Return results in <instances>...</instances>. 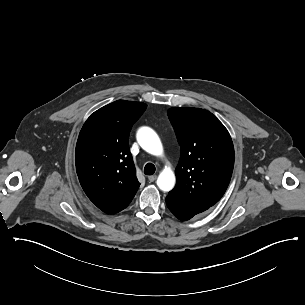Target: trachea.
I'll use <instances>...</instances> for the list:
<instances>
[{
  "instance_id": "1",
  "label": "trachea",
  "mask_w": 305,
  "mask_h": 305,
  "mask_svg": "<svg viewBox=\"0 0 305 305\" xmlns=\"http://www.w3.org/2000/svg\"><path fill=\"white\" fill-rule=\"evenodd\" d=\"M155 165L152 163H147L144 167V174L145 175H153L155 173Z\"/></svg>"
}]
</instances>
